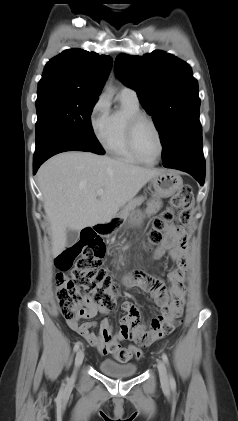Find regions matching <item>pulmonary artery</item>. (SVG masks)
Segmentation results:
<instances>
[{"label":"pulmonary artery","instance_id":"pulmonary-artery-1","mask_svg":"<svg viewBox=\"0 0 238 421\" xmlns=\"http://www.w3.org/2000/svg\"><path fill=\"white\" fill-rule=\"evenodd\" d=\"M120 95L125 96L133 101H138L137 93L132 88L123 87L120 91Z\"/></svg>","mask_w":238,"mask_h":421}]
</instances>
